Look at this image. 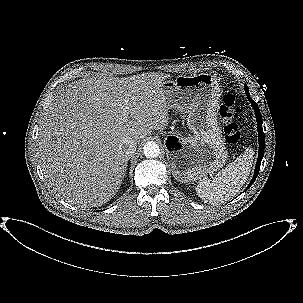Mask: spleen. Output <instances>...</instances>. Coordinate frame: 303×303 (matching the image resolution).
I'll return each mask as SVG.
<instances>
[{
    "label": "spleen",
    "mask_w": 303,
    "mask_h": 303,
    "mask_svg": "<svg viewBox=\"0 0 303 303\" xmlns=\"http://www.w3.org/2000/svg\"><path fill=\"white\" fill-rule=\"evenodd\" d=\"M253 149L247 148L235 161L218 172L214 179H203L196 187L204 202L218 205L232 199L247 181L253 165Z\"/></svg>",
    "instance_id": "3e777b00"
}]
</instances>
